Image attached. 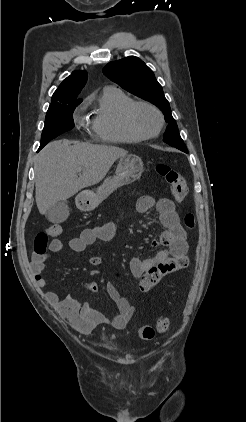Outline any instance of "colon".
Instances as JSON below:
<instances>
[{
	"label": "colon",
	"mask_w": 246,
	"mask_h": 422,
	"mask_svg": "<svg viewBox=\"0 0 246 422\" xmlns=\"http://www.w3.org/2000/svg\"><path fill=\"white\" fill-rule=\"evenodd\" d=\"M156 172L159 176L164 178L170 187L171 194L174 199L181 200L185 197L188 191L186 180L173 168L167 164H157ZM185 226L193 229L195 226V219L193 214L189 213L184 218ZM62 227L58 224H52L46 228L44 232L36 235L34 240V252L38 255H43L47 249L48 236L55 237L60 235ZM187 256H179L169 258L156 266L150 268L142 277L140 281V289L143 292H148L156 286L165 276L184 269L188 265ZM170 328V320L164 316H160L156 320V330L159 333H166ZM138 335L142 339H151L155 335V329L151 326H141L138 328Z\"/></svg>",
	"instance_id": "1"
}]
</instances>
